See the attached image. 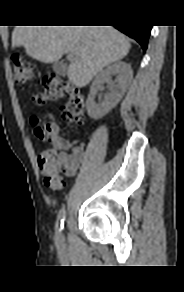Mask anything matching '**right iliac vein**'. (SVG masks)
<instances>
[{
    "instance_id": "63e3f726",
    "label": "right iliac vein",
    "mask_w": 184,
    "mask_h": 292,
    "mask_svg": "<svg viewBox=\"0 0 184 292\" xmlns=\"http://www.w3.org/2000/svg\"><path fill=\"white\" fill-rule=\"evenodd\" d=\"M62 238H63L62 235H60V236H59V239H62Z\"/></svg>"
}]
</instances>
